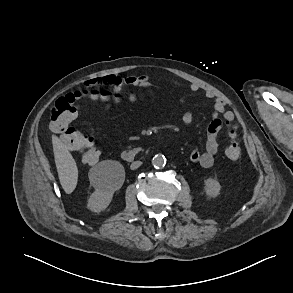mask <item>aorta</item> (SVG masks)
<instances>
[{
  "label": "aorta",
  "mask_w": 293,
  "mask_h": 293,
  "mask_svg": "<svg viewBox=\"0 0 293 293\" xmlns=\"http://www.w3.org/2000/svg\"><path fill=\"white\" fill-rule=\"evenodd\" d=\"M165 164H166V158L164 155L157 154L152 159V165L157 169L164 167Z\"/></svg>",
  "instance_id": "aorta-1"
}]
</instances>
